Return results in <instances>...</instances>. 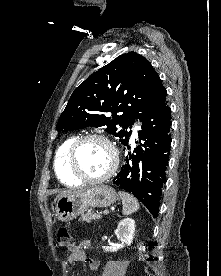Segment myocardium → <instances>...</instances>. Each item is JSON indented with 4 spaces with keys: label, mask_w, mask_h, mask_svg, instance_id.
I'll use <instances>...</instances> for the list:
<instances>
[{
    "label": "myocardium",
    "mask_w": 221,
    "mask_h": 276,
    "mask_svg": "<svg viewBox=\"0 0 221 276\" xmlns=\"http://www.w3.org/2000/svg\"><path fill=\"white\" fill-rule=\"evenodd\" d=\"M88 140H99L104 142L112 153V164L110 168L101 176L89 177L85 175L79 168L77 163V152L81 144ZM67 165L71 174L79 181L86 183H100L109 179L117 170L119 165V154L114 143L105 135L98 133H89L74 139L67 152Z\"/></svg>",
    "instance_id": "myocardium-1"
}]
</instances>
